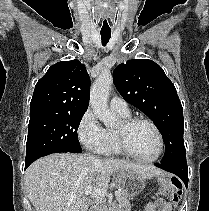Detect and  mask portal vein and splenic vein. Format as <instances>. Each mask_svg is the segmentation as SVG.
I'll list each match as a JSON object with an SVG mask.
<instances>
[{
	"instance_id": "18ae733b",
	"label": "portal vein and splenic vein",
	"mask_w": 209,
	"mask_h": 211,
	"mask_svg": "<svg viewBox=\"0 0 209 211\" xmlns=\"http://www.w3.org/2000/svg\"><path fill=\"white\" fill-rule=\"evenodd\" d=\"M85 195L91 196L92 198H103L108 193L106 189H93L92 186H88L84 190ZM116 197H120V192H115Z\"/></svg>"
}]
</instances>
